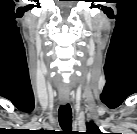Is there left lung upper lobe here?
Segmentation results:
<instances>
[{"instance_id": "5c2ea615", "label": "left lung upper lobe", "mask_w": 137, "mask_h": 134, "mask_svg": "<svg viewBox=\"0 0 137 134\" xmlns=\"http://www.w3.org/2000/svg\"><path fill=\"white\" fill-rule=\"evenodd\" d=\"M87 134H101L102 132L99 130V128L96 126L94 122L87 123Z\"/></svg>"}]
</instances>
